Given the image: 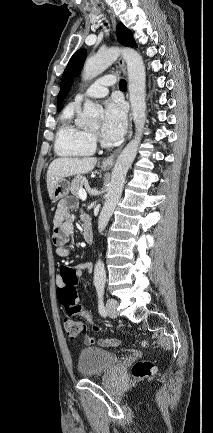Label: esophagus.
Listing matches in <instances>:
<instances>
[{"mask_svg":"<svg viewBox=\"0 0 213 433\" xmlns=\"http://www.w3.org/2000/svg\"><path fill=\"white\" fill-rule=\"evenodd\" d=\"M111 19H112L113 25L115 26L116 25V19H115L114 15H112V14H111ZM118 64L121 67V69L124 71V73H126L125 63H124V60L122 58H119ZM131 136H132V115L130 113V115H129V124H128L127 139H130ZM121 149H122V147L118 148L113 153H111L109 156H107L105 159H103L102 166L103 167H111V166H113V164L115 162V159H116L117 155L119 154V152L121 151Z\"/></svg>","mask_w":213,"mask_h":433,"instance_id":"34e87169","label":"esophagus"}]
</instances>
